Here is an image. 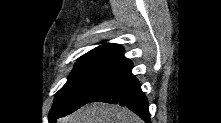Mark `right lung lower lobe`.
Segmentation results:
<instances>
[{
	"instance_id": "obj_1",
	"label": "right lung lower lobe",
	"mask_w": 221,
	"mask_h": 123,
	"mask_svg": "<svg viewBox=\"0 0 221 123\" xmlns=\"http://www.w3.org/2000/svg\"><path fill=\"white\" fill-rule=\"evenodd\" d=\"M132 63L126 65L106 78L93 91L87 103L106 102L125 106L137 113L146 123L150 122L148 101L141 91L140 84L131 73ZM63 114L50 112L49 120H55Z\"/></svg>"
}]
</instances>
